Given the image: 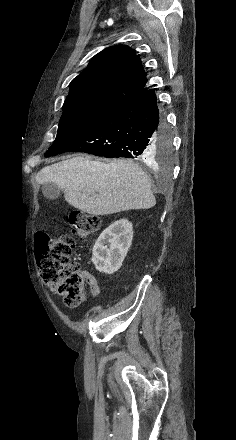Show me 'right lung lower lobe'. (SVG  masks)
<instances>
[{
    "mask_svg": "<svg viewBox=\"0 0 236 440\" xmlns=\"http://www.w3.org/2000/svg\"><path fill=\"white\" fill-rule=\"evenodd\" d=\"M165 131L155 89H147L118 105L58 148L48 150L45 155L84 152L108 158L150 161L155 140Z\"/></svg>",
    "mask_w": 236,
    "mask_h": 440,
    "instance_id": "obj_1",
    "label": "right lung lower lobe"
}]
</instances>
